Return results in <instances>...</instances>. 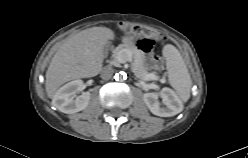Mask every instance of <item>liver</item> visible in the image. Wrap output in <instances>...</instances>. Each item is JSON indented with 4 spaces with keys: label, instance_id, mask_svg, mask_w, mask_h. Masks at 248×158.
<instances>
[{
    "label": "liver",
    "instance_id": "obj_1",
    "mask_svg": "<svg viewBox=\"0 0 248 158\" xmlns=\"http://www.w3.org/2000/svg\"><path fill=\"white\" fill-rule=\"evenodd\" d=\"M113 34L106 28H93L69 37L54 55L46 74L49 96L62 83L92 74L97 68L101 48Z\"/></svg>",
    "mask_w": 248,
    "mask_h": 158
}]
</instances>
